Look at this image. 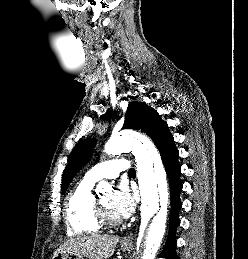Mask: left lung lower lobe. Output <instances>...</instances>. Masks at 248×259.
I'll return each mask as SVG.
<instances>
[{"instance_id":"0a47b994","label":"left lung lower lobe","mask_w":248,"mask_h":259,"mask_svg":"<svg viewBox=\"0 0 248 259\" xmlns=\"http://www.w3.org/2000/svg\"><path fill=\"white\" fill-rule=\"evenodd\" d=\"M170 183V199L171 213L169 222V234L165 246L160 254V257L167 259H178L175 252V229L179 225L178 212L182 207L179 196L182 191V183L180 181L181 167L178 162V150L174 145V140L162 145L158 148Z\"/></svg>"}]
</instances>
